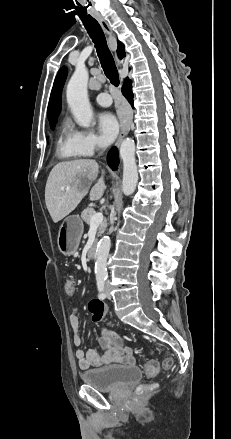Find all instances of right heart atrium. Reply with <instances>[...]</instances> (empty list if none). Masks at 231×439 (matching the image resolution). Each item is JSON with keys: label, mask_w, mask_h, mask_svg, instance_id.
<instances>
[{"label": "right heart atrium", "mask_w": 231, "mask_h": 439, "mask_svg": "<svg viewBox=\"0 0 231 439\" xmlns=\"http://www.w3.org/2000/svg\"><path fill=\"white\" fill-rule=\"evenodd\" d=\"M74 141L78 152L83 156H91L105 146L97 135L86 130H75Z\"/></svg>", "instance_id": "right-heart-atrium-1"}]
</instances>
